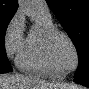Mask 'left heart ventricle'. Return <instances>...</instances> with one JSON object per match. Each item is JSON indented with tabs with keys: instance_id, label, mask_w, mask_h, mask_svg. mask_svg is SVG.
Returning a JSON list of instances; mask_svg holds the SVG:
<instances>
[{
	"instance_id": "obj_1",
	"label": "left heart ventricle",
	"mask_w": 89,
	"mask_h": 89,
	"mask_svg": "<svg viewBox=\"0 0 89 89\" xmlns=\"http://www.w3.org/2000/svg\"><path fill=\"white\" fill-rule=\"evenodd\" d=\"M55 51L62 69L68 70L75 66L74 51L65 39L59 38L56 41Z\"/></svg>"
}]
</instances>
